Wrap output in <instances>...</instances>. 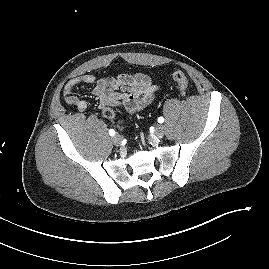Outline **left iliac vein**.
I'll list each match as a JSON object with an SVG mask.
<instances>
[{"label": "left iliac vein", "instance_id": "4c4485c4", "mask_svg": "<svg viewBox=\"0 0 269 269\" xmlns=\"http://www.w3.org/2000/svg\"><path fill=\"white\" fill-rule=\"evenodd\" d=\"M154 134L156 138L161 139L164 136V127L162 125H157Z\"/></svg>", "mask_w": 269, "mask_h": 269}]
</instances>
